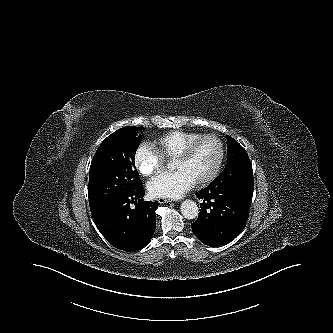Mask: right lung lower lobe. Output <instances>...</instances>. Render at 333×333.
Listing matches in <instances>:
<instances>
[{
  "instance_id": "obj_1",
  "label": "right lung lower lobe",
  "mask_w": 333,
  "mask_h": 333,
  "mask_svg": "<svg viewBox=\"0 0 333 333\" xmlns=\"http://www.w3.org/2000/svg\"><path fill=\"white\" fill-rule=\"evenodd\" d=\"M143 185L125 194L90 205L94 223L114 247L128 252L144 248L155 228L158 202H143ZM135 208H131V204Z\"/></svg>"
}]
</instances>
